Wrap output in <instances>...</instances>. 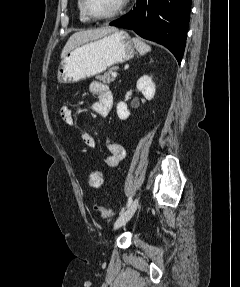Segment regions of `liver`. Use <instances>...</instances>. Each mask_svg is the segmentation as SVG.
Wrapping results in <instances>:
<instances>
[{
	"instance_id": "1",
	"label": "liver",
	"mask_w": 240,
	"mask_h": 287,
	"mask_svg": "<svg viewBox=\"0 0 240 287\" xmlns=\"http://www.w3.org/2000/svg\"><path fill=\"white\" fill-rule=\"evenodd\" d=\"M116 29H117L116 27L105 26L97 29H89L74 33L73 35L70 36L67 43L65 44L61 53V58H64L65 55L68 54L75 47L85 42L98 39L110 32L115 31Z\"/></svg>"
}]
</instances>
